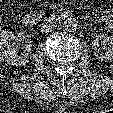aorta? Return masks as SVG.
<instances>
[{"label":"aorta","mask_w":113,"mask_h":113,"mask_svg":"<svg viewBox=\"0 0 113 113\" xmlns=\"http://www.w3.org/2000/svg\"><path fill=\"white\" fill-rule=\"evenodd\" d=\"M79 27V22L76 18L69 17L63 23V28L66 32H75Z\"/></svg>","instance_id":"obj_1"}]
</instances>
